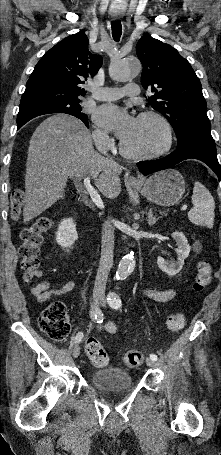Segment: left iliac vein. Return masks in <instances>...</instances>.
Masks as SVG:
<instances>
[{
    "label": "left iliac vein",
    "instance_id": "1",
    "mask_svg": "<svg viewBox=\"0 0 221 455\" xmlns=\"http://www.w3.org/2000/svg\"><path fill=\"white\" fill-rule=\"evenodd\" d=\"M101 304H102V306H105L106 300L103 299L102 302H101ZM146 364H147V366H149V367H154V366L156 365V362H155L154 360H152L151 358H147V359H146Z\"/></svg>",
    "mask_w": 221,
    "mask_h": 455
}]
</instances>
